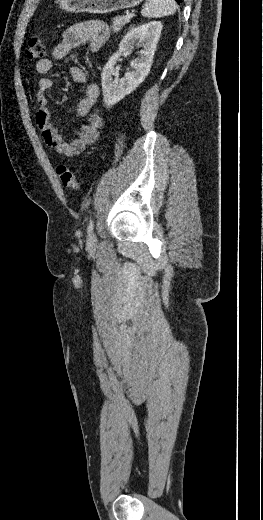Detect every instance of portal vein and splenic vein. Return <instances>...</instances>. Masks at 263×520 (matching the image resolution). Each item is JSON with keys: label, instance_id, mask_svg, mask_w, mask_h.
<instances>
[{"label": "portal vein and splenic vein", "instance_id": "portal-vein-and-splenic-vein-1", "mask_svg": "<svg viewBox=\"0 0 263 520\" xmlns=\"http://www.w3.org/2000/svg\"><path fill=\"white\" fill-rule=\"evenodd\" d=\"M133 16H134V12H131V13H127V14H126V17H127V18H131V17H133Z\"/></svg>", "mask_w": 263, "mask_h": 520}]
</instances>
